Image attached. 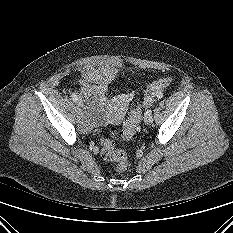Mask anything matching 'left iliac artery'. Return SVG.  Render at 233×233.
Instances as JSON below:
<instances>
[{
	"label": "left iliac artery",
	"instance_id": "1",
	"mask_svg": "<svg viewBox=\"0 0 233 233\" xmlns=\"http://www.w3.org/2000/svg\"><path fill=\"white\" fill-rule=\"evenodd\" d=\"M151 113L152 111L150 109L146 111V114H151Z\"/></svg>",
	"mask_w": 233,
	"mask_h": 233
}]
</instances>
